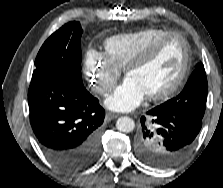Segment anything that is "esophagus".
Instances as JSON below:
<instances>
[{
    "instance_id": "1",
    "label": "esophagus",
    "mask_w": 223,
    "mask_h": 188,
    "mask_svg": "<svg viewBox=\"0 0 223 188\" xmlns=\"http://www.w3.org/2000/svg\"><path fill=\"white\" fill-rule=\"evenodd\" d=\"M119 115L118 114H115V113H112V112H107L106 113V120L107 121H111L113 119H116Z\"/></svg>"
}]
</instances>
